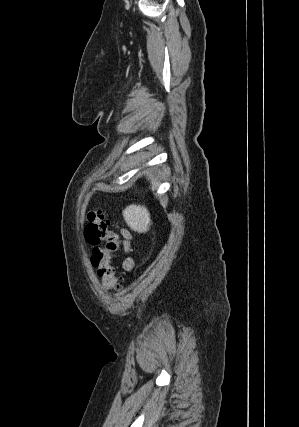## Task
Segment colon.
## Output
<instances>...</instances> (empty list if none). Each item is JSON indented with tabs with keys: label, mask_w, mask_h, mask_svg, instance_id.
Masks as SVG:
<instances>
[{
	"label": "colon",
	"mask_w": 299,
	"mask_h": 427,
	"mask_svg": "<svg viewBox=\"0 0 299 427\" xmlns=\"http://www.w3.org/2000/svg\"><path fill=\"white\" fill-rule=\"evenodd\" d=\"M85 227V238L92 245V264L97 268V273L103 286L108 290L122 291L123 278L116 276L115 267L111 263L112 255L119 249V237L110 227V221L105 219L102 209L96 208L89 211ZM104 243V246L101 244Z\"/></svg>",
	"instance_id": "5ec220e1"
}]
</instances>
